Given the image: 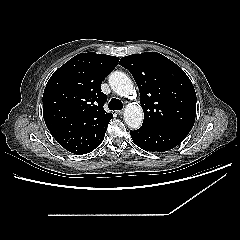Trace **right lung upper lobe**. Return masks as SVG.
Returning a JSON list of instances; mask_svg holds the SVG:
<instances>
[{
    "label": "right lung upper lobe",
    "mask_w": 240,
    "mask_h": 240,
    "mask_svg": "<svg viewBox=\"0 0 240 240\" xmlns=\"http://www.w3.org/2000/svg\"><path fill=\"white\" fill-rule=\"evenodd\" d=\"M118 57L80 53L57 69L43 94L46 126L56 141L74 154H86L104 139L113 115L103 106L107 96L101 83Z\"/></svg>",
    "instance_id": "right-lung-upper-lobe-1"
}]
</instances>
